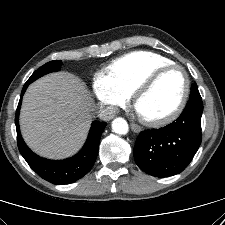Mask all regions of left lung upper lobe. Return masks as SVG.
<instances>
[{
    "instance_id": "left-lung-upper-lobe-1",
    "label": "left lung upper lobe",
    "mask_w": 225,
    "mask_h": 225,
    "mask_svg": "<svg viewBox=\"0 0 225 225\" xmlns=\"http://www.w3.org/2000/svg\"><path fill=\"white\" fill-rule=\"evenodd\" d=\"M200 96L196 83L192 85L190 97Z\"/></svg>"
}]
</instances>
